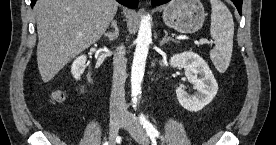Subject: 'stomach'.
<instances>
[{"label":"stomach","mask_w":276,"mask_h":145,"mask_svg":"<svg viewBox=\"0 0 276 145\" xmlns=\"http://www.w3.org/2000/svg\"><path fill=\"white\" fill-rule=\"evenodd\" d=\"M204 18V7L200 0H172L163 11L165 24L181 33L198 31Z\"/></svg>","instance_id":"0dacf381"}]
</instances>
